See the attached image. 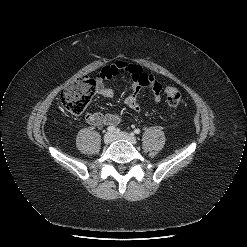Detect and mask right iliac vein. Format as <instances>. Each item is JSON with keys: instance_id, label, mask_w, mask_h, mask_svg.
Listing matches in <instances>:
<instances>
[{"instance_id": "obj_1", "label": "right iliac vein", "mask_w": 247, "mask_h": 247, "mask_svg": "<svg viewBox=\"0 0 247 247\" xmlns=\"http://www.w3.org/2000/svg\"><path fill=\"white\" fill-rule=\"evenodd\" d=\"M103 140L105 144H110L114 140V134L110 132L106 133Z\"/></svg>"}]
</instances>
